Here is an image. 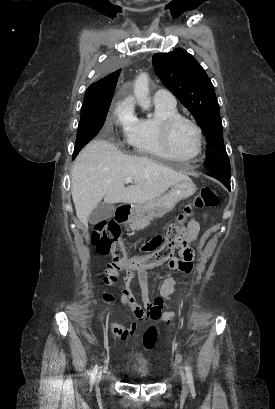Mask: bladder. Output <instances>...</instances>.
Listing matches in <instances>:
<instances>
[{"mask_svg":"<svg viewBox=\"0 0 275 409\" xmlns=\"http://www.w3.org/2000/svg\"><path fill=\"white\" fill-rule=\"evenodd\" d=\"M128 370L133 374L135 380L149 381L152 379V375L147 363L133 362L130 364Z\"/></svg>","mask_w":275,"mask_h":409,"instance_id":"bladder-1","label":"bladder"}]
</instances>
